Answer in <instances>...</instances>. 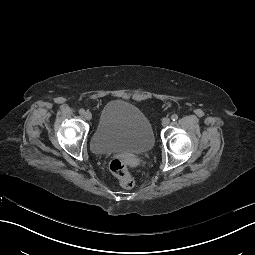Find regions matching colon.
Here are the masks:
<instances>
[{
	"mask_svg": "<svg viewBox=\"0 0 255 255\" xmlns=\"http://www.w3.org/2000/svg\"><path fill=\"white\" fill-rule=\"evenodd\" d=\"M111 172L117 177L120 185L125 189L134 187L135 180L127 169L124 159L116 158L110 163Z\"/></svg>",
	"mask_w": 255,
	"mask_h": 255,
	"instance_id": "colon-1",
	"label": "colon"
}]
</instances>
